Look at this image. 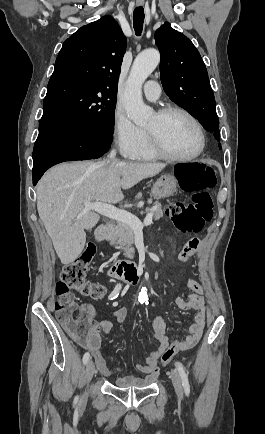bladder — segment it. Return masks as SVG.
I'll use <instances>...</instances> for the list:
<instances>
[{
	"label": "bladder",
	"mask_w": 265,
	"mask_h": 434,
	"mask_svg": "<svg viewBox=\"0 0 265 434\" xmlns=\"http://www.w3.org/2000/svg\"><path fill=\"white\" fill-rule=\"evenodd\" d=\"M103 372H104V374L107 375V376H110V375L113 374V371H112L111 369H109V368H104V369H103Z\"/></svg>",
	"instance_id": "obj_1"
}]
</instances>
